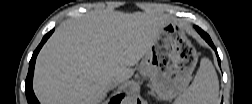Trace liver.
Masks as SVG:
<instances>
[{"label":"liver","mask_w":252,"mask_h":104,"mask_svg":"<svg viewBox=\"0 0 252 104\" xmlns=\"http://www.w3.org/2000/svg\"><path fill=\"white\" fill-rule=\"evenodd\" d=\"M167 17L113 12L62 23L41 49L33 88L44 104H99L157 40Z\"/></svg>","instance_id":"1"}]
</instances>
